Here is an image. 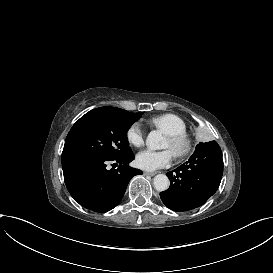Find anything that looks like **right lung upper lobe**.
I'll return each mask as SVG.
<instances>
[{"instance_id":"obj_1","label":"right lung upper lobe","mask_w":273,"mask_h":273,"mask_svg":"<svg viewBox=\"0 0 273 273\" xmlns=\"http://www.w3.org/2000/svg\"><path fill=\"white\" fill-rule=\"evenodd\" d=\"M112 108H116V107H112ZM116 109L126 113L127 115H129L131 117H139V115L141 114V112H139V113H130V112H128L126 110H123V109H120V108H116Z\"/></svg>"}]
</instances>
